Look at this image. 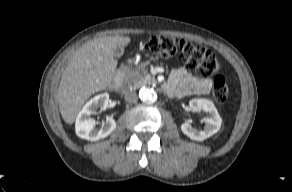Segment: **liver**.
I'll return each mask as SVG.
<instances>
[{
  "mask_svg": "<svg viewBox=\"0 0 292 192\" xmlns=\"http://www.w3.org/2000/svg\"><path fill=\"white\" fill-rule=\"evenodd\" d=\"M130 37L114 36L90 40L76 50L66 66L58 88L59 110L73 124L85 101L112 86L117 67L113 50L125 47Z\"/></svg>",
  "mask_w": 292,
  "mask_h": 192,
  "instance_id": "obj_1",
  "label": "liver"
}]
</instances>
